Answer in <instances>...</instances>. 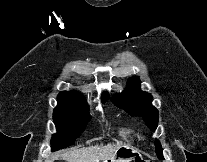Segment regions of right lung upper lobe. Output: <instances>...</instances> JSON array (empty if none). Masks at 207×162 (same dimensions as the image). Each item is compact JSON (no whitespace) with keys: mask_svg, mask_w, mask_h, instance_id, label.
<instances>
[{"mask_svg":"<svg viewBox=\"0 0 207 162\" xmlns=\"http://www.w3.org/2000/svg\"><path fill=\"white\" fill-rule=\"evenodd\" d=\"M58 97H62V98H74V99H84V97L82 96L81 93L79 92H76V91H62ZM108 97V94L107 93H103L102 95V99L103 100H106Z\"/></svg>","mask_w":207,"mask_h":162,"instance_id":"right-lung-upper-lobe-1","label":"right lung upper lobe"}]
</instances>
